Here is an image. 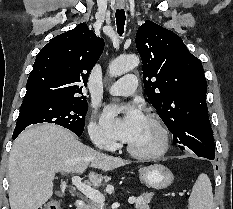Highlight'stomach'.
Returning <instances> with one entry per match:
<instances>
[{
	"instance_id": "0dacf381",
	"label": "stomach",
	"mask_w": 233,
	"mask_h": 209,
	"mask_svg": "<svg viewBox=\"0 0 233 209\" xmlns=\"http://www.w3.org/2000/svg\"><path fill=\"white\" fill-rule=\"evenodd\" d=\"M139 178L149 188L160 190L170 186L174 176L167 167L154 164L140 169Z\"/></svg>"
}]
</instances>
